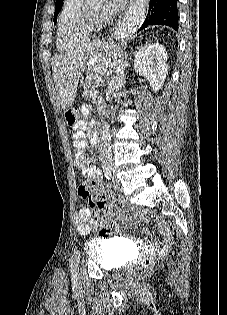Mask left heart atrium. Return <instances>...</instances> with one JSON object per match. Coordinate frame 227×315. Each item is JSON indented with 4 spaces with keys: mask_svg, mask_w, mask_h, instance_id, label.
Instances as JSON below:
<instances>
[{
    "mask_svg": "<svg viewBox=\"0 0 227 315\" xmlns=\"http://www.w3.org/2000/svg\"><path fill=\"white\" fill-rule=\"evenodd\" d=\"M127 5V0H107L102 7V15L110 17L122 10Z\"/></svg>",
    "mask_w": 227,
    "mask_h": 315,
    "instance_id": "39dd6f15",
    "label": "left heart atrium"
}]
</instances>
